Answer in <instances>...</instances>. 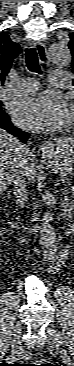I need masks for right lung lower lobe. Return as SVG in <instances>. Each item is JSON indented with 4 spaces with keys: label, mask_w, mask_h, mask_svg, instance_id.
Returning a JSON list of instances; mask_svg holds the SVG:
<instances>
[{
    "label": "right lung lower lobe",
    "mask_w": 74,
    "mask_h": 366,
    "mask_svg": "<svg viewBox=\"0 0 74 366\" xmlns=\"http://www.w3.org/2000/svg\"><path fill=\"white\" fill-rule=\"evenodd\" d=\"M0 128H3L5 130H8L9 133L13 134L14 136L18 135L19 138L25 143L30 134L27 132H23L20 129L15 128L12 123L10 122V118L7 114L0 117Z\"/></svg>",
    "instance_id": "98d812e1"
}]
</instances>
